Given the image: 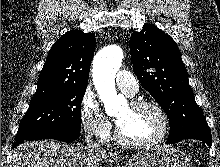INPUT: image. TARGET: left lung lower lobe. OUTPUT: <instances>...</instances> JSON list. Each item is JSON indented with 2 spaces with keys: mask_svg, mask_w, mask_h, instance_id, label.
Listing matches in <instances>:
<instances>
[{
  "mask_svg": "<svg viewBox=\"0 0 220 167\" xmlns=\"http://www.w3.org/2000/svg\"><path fill=\"white\" fill-rule=\"evenodd\" d=\"M183 139H197V140H201L204 143H206L209 147H211L212 144V139H211V133L210 132H203V133H196V134H192V135H188L182 139H173L170 140L168 139L167 144H175Z\"/></svg>",
  "mask_w": 220,
  "mask_h": 167,
  "instance_id": "obj_1",
  "label": "left lung lower lobe"
}]
</instances>
